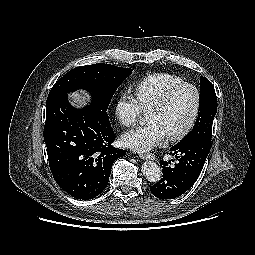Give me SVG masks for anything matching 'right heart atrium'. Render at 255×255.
<instances>
[{
  "mask_svg": "<svg viewBox=\"0 0 255 255\" xmlns=\"http://www.w3.org/2000/svg\"><path fill=\"white\" fill-rule=\"evenodd\" d=\"M142 113V109L136 100L128 92H121L115 103V117L120 125L129 127L136 123Z\"/></svg>",
  "mask_w": 255,
  "mask_h": 255,
  "instance_id": "obj_1",
  "label": "right heart atrium"
}]
</instances>
